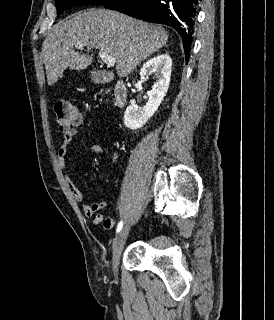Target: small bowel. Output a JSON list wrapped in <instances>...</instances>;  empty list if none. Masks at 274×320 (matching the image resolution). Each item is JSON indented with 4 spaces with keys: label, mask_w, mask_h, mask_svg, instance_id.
I'll list each match as a JSON object with an SVG mask.
<instances>
[{
    "label": "small bowel",
    "mask_w": 274,
    "mask_h": 320,
    "mask_svg": "<svg viewBox=\"0 0 274 320\" xmlns=\"http://www.w3.org/2000/svg\"><path fill=\"white\" fill-rule=\"evenodd\" d=\"M74 126L69 130L63 133L62 143L57 151V164L59 170L63 173L66 183L68 185L69 191L71 192L72 196L76 200V202L82 204V211L86 217L92 218L94 224H102L105 229H110L114 225V220L109 217H105L103 214L98 212L102 211L106 208V201L98 200L94 203H87L84 200V194L79 189V187L73 182L71 177L67 172V164H66V156L68 154V148L70 143L74 140V138L79 134L80 128L84 129V121L83 119H74L73 121ZM92 151L95 153L102 154L103 149L97 144H93L91 146ZM114 164H118L119 162V154L115 153L113 156ZM99 178L102 175L98 176Z\"/></svg>",
    "instance_id": "small-bowel-1"
}]
</instances>
